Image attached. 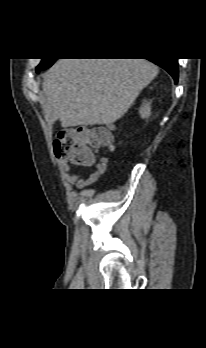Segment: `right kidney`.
<instances>
[{
  "mask_svg": "<svg viewBox=\"0 0 206 348\" xmlns=\"http://www.w3.org/2000/svg\"><path fill=\"white\" fill-rule=\"evenodd\" d=\"M140 116L142 118H147L151 115V105L150 103L144 102L139 110Z\"/></svg>",
  "mask_w": 206,
  "mask_h": 348,
  "instance_id": "1",
  "label": "right kidney"
}]
</instances>
